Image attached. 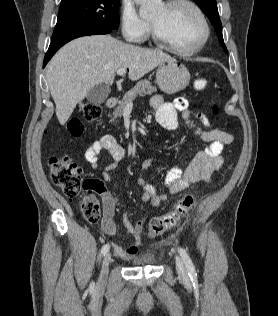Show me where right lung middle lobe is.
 <instances>
[{
	"mask_svg": "<svg viewBox=\"0 0 278 316\" xmlns=\"http://www.w3.org/2000/svg\"><path fill=\"white\" fill-rule=\"evenodd\" d=\"M118 26L119 0H61L52 42L88 29Z\"/></svg>",
	"mask_w": 278,
	"mask_h": 316,
	"instance_id": "obj_1",
	"label": "right lung middle lobe"
}]
</instances>
